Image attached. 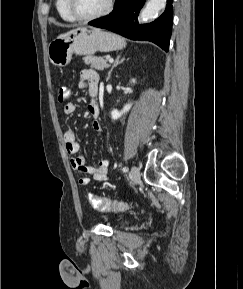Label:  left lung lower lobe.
Segmentation results:
<instances>
[{"label": "left lung lower lobe", "instance_id": "left-lung-lower-lobe-1", "mask_svg": "<svg viewBox=\"0 0 243 289\" xmlns=\"http://www.w3.org/2000/svg\"><path fill=\"white\" fill-rule=\"evenodd\" d=\"M172 1L167 0L164 13L154 22L139 25L137 16L145 0H116L114 10L107 16L89 22L131 40H147L168 51L172 30Z\"/></svg>", "mask_w": 243, "mask_h": 289}]
</instances>
